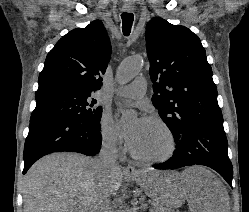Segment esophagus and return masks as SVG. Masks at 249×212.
<instances>
[{"label": "esophagus", "instance_id": "34e87169", "mask_svg": "<svg viewBox=\"0 0 249 212\" xmlns=\"http://www.w3.org/2000/svg\"><path fill=\"white\" fill-rule=\"evenodd\" d=\"M124 10H125V12H132L133 11L132 8H125ZM124 172L128 173L130 175H141V172L136 170L134 165H131V164H128L127 167H125Z\"/></svg>", "mask_w": 249, "mask_h": 212}]
</instances>
